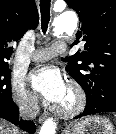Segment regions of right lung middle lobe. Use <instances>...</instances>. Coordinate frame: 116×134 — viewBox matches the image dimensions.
I'll list each match as a JSON object with an SVG mask.
<instances>
[{"label": "right lung middle lobe", "mask_w": 116, "mask_h": 134, "mask_svg": "<svg viewBox=\"0 0 116 134\" xmlns=\"http://www.w3.org/2000/svg\"><path fill=\"white\" fill-rule=\"evenodd\" d=\"M11 70L8 66L0 67V107L13 103L11 97Z\"/></svg>", "instance_id": "1"}]
</instances>
